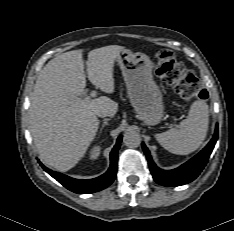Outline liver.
Wrapping results in <instances>:
<instances>
[{
    "mask_svg": "<svg viewBox=\"0 0 234 231\" xmlns=\"http://www.w3.org/2000/svg\"><path fill=\"white\" fill-rule=\"evenodd\" d=\"M123 50L110 45L88 52V78L105 93L114 92V62ZM84 69L82 49L53 58L40 72L31 97L29 124L35 148L46 165L60 172L85 155L98 130L97 114L115 115L118 110L106 96L77 100L86 87Z\"/></svg>",
    "mask_w": 234,
    "mask_h": 231,
    "instance_id": "6515ba94",
    "label": "liver"
}]
</instances>
